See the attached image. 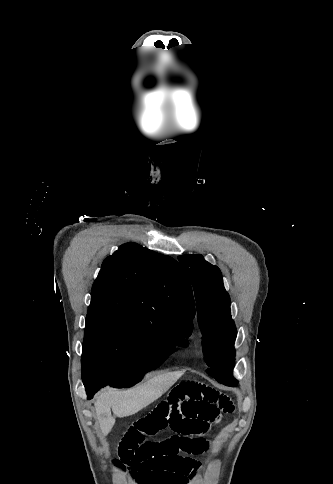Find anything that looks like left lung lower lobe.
<instances>
[{
  "mask_svg": "<svg viewBox=\"0 0 333 484\" xmlns=\"http://www.w3.org/2000/svg\"><path fill=\"white\" fill-rule=\"evenodd\" d=\"M226 385H228V386H235V384H226Z\"/></svg>",
  "mask_w": 333,
  "mask_h": 484,
  "instance_id": "obj_1",
  "label": "left lung lower lobe"
}]
</instances>
